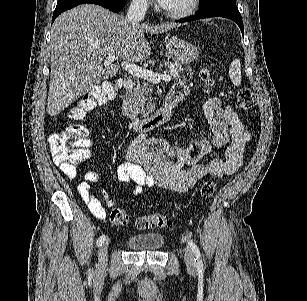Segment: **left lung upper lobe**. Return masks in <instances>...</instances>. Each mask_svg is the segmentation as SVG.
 <instances>
[{
  "label": "left lung upper lobe",
  "mask_w": 307,
  "mask_h": 301,
  "mask_svg": "<svg viewBox=\"0 0 307 301\" xmlns=\"http://www.w3.org/2000/svg\"><path fill=\"white\" fill-rule=\"evenodd\" d=\"M201 5L197 13H231L240 15L236 0H200Z\"/></svg>",
  "instance_id": "left-lung-upper-lobe-1"
}]
</instances>
